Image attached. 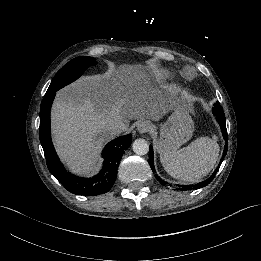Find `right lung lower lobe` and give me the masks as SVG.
Returning <instances> with one entry per match:
<instances>
[{"instance_id":"98d812e1","label":"right lung lower lobe","mask_w":261,"mask_h":261,"mask_svg":"<svg viewBox=\"0 0 261 261\" xmlns=\"http://www.w3.org/2000/svg\"><path fill=\"white\" fill-rule=\"evenodd\" d=\"M55 95L56 92L46 95L40 107L39 137L49 171L73 194L96 196L107 193L116 180L122 154L132 142L131 134L120 136L105 146L102 152L103 166L96 175L82 177L70 173L60 162L51 140L50 109Z\"/></svg>"}]
</instances>
